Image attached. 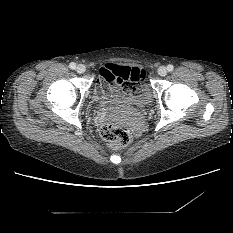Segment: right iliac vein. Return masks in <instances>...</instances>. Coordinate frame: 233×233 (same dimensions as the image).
<instances>
[{
    "instance_id": "right-iliac-vein-1",
    "label": "right iliac vein",
    "mask_w": 233,
    "mask_h": 233,
    "mask_svg": "<svg viewBox=\"0 0 233 233\" xmlns=\"http://www.w3.org/2000/svg\"><path fill=\"white\" fill-rule=\"evenodd\" d=\"M86 71V67L82 64L76 66V72L82 74Z\"/></svg>"
}]
</instances>
